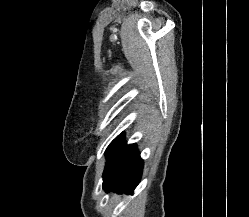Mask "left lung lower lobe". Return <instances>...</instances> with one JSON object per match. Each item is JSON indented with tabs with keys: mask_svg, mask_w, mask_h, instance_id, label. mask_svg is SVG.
I'll return each instance as SVG.
<instances>
[{
	"mask_svg": "<svg viewBox=\"0 0 249 217\" xmlns=\"http://www.w3.org/2000/svg\"><path fill=\"white\" fill-rule=\"evenodd\" d=\"M143 169V160L135 144L127 145L123 133L118 136L113 166L104 174L103 188L109 192L132 193L138 185Z\"/></svg>",
	"mask_w": 249,
	"mask_h": 217,
	"instance_id": "obj_1",
	"label": "left lung lower lobe"
}]
</instances>
